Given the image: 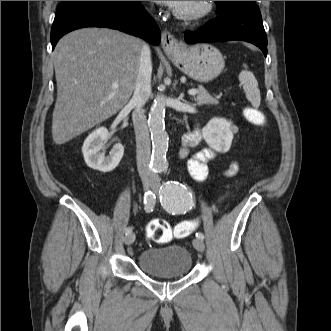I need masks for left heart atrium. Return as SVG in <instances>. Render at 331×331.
<instances>
[{
  "mask_svg": "<svg viewBox=\"0 0 331 331\" xmlns=\"http://www.w3.org/2000/svg\"><path fill=\"white\" fill-rule=\"evenodd\" d=\"M155 2L163 5H168L171 7H177L181 3V1H155Z\"/></svg>",
  "mask_w": 331,
  "mask_h": 331,
  "instance_id": "1",
  "label": "left heart atrium"
}]
</instances>
